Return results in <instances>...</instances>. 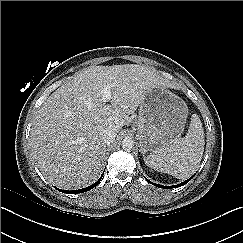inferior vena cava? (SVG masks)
I'll list each match as a JSON object with an SVG mask.
<instances>
[{
	"label": "inferior vena cava",
	"instance_id": "obj_1",
	"mask_svg": "<svg viewBox=\"0 0 243 243\" xmlns=\"http://www.w3.org/2000/svg\"><path fill=\"white\" fill-rule=\"evenodd\" d=\"M116 135L117 129L114 127H108L103 131L101 138L102 141L108 145L114 142Z\"/></svg>",
	"mask_w": 243,
	"mask_h": 243
}]
</instances>
